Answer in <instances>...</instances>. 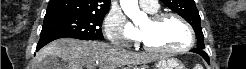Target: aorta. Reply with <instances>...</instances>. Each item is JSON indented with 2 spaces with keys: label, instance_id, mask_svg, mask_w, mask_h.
Returning a JSON list of instances; mask_svg holds the SVG:
<instances>
[{
  "label": "aorta",
  "instance_id": "1",
  "mask_svg": "<svg viewBox=\"0 0 246 69\" xmlns=\"http://www.w3.org/2000/svg\"><path fill=\"white\" fill-rule=\"evenodd\" d=\"M120 5L124 13L134 23H138L141 19H145L147 17L144 12L140 11L138 0H120Z\"/></svg>",
  "mask_w": 246,
  "mask_h": 69
}]
</instances>
